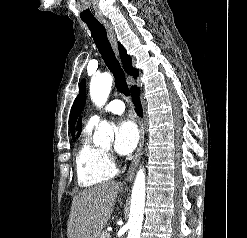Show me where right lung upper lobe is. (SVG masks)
Masks as SVG:
<instances>
[{"label":"right lung upper lobe","mask_w":247,"mask_h":238,"mask_svg":"<svg viewBox=\"0 0 247 238\" xmlns=\"http://www.w3.org/2000/svg\"><path fill=\"white\" fill-rule=\"evenodd\" d=\"M118 47L120 51L121 61L123 63L126 72L130 75H133L134 77H137L138 70L132 67L131 57L126 53L125 48L120 43H118ZM80 127H81V119L78 122V130L80 129Z\"/></svg>","instance_id":"cb5924a9"}]
</instances>
